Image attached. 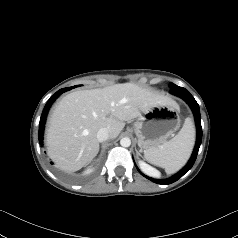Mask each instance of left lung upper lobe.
<instances>
[{
  "instance_id": "1",
  "label": "left lung upper lobe",
  "mask_w": 238,
  "mask_h": 238,
  "mask_svg": "<svg viewBox=\"0 0 238 238\" xmlns=\"http://www.w3.org/2000/svg\"><path fill=\"white\" fill-rule=\"evenodd\" d=\"M174 86H175V84H173V83L170 84V87H171V88L174 87Z\"/></svg>"
}]
</instances>
